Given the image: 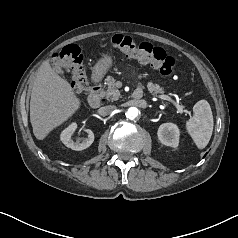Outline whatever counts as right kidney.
<instances>
[{
  "instance_id": "obj_1",
  "label": "right kidney",
  "mask_w": 238,
  "mask_h": 238,
  "mask_svg": "<svg viewBox=\"0 0 238 238\" xmlns=\"http://www.w3.org/2000/svg\"><path fill=\"white\" fill-rule=\"evenodd\" d=\"M76 129L77 124L72 123L62 131L60 139L66 147L71 148L72 150L81 151L88 148L93 143L94 133L90 129H85L84 131L87 133V137L75 142L72 138V135Z\"/></svg>"
}]
</instances>
